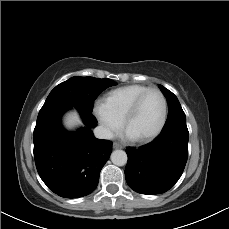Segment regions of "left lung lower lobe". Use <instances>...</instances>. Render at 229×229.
<instances>
[{
    "label": "left lung lower lobe",
    "instance_id": "obj_1",
    "mask_svg": "<svg viewBox=\"0 0 229 229\" xmlns=\"http://www.w3.org/2000/svg\"><path fill=\"white\" fill-rule=\"evenodd\" d=\"M189 132L186 124L162 131L151 143L136 149L128 147L125 178L134 191L161 194L181 177L188 158Z\"/></svg>",
    "mask_w": 229,
    "mask_h": 229
}]
</instances>
